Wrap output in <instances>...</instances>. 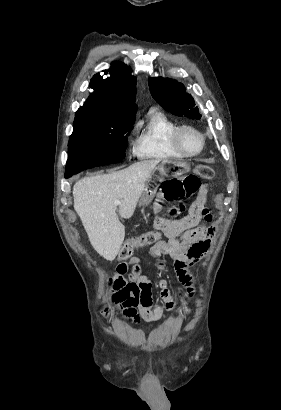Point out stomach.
Here are the masks:
<instances>
[{"instance_id": "1", "label": "stomach", "mask_w": 281, "mask_h": 410, "mask_svg": "<svg viewBox=\"0 0 281 410\" xmlns=\"http://www.w3.org/2000/svg\"><path fill=\"white\" fill-rule=\"evenodd\" d=\"M190 170V165L177 160L165 159L152 171L146 181L145 189L139 202L140 206H147L154 198L156 191L165 177H177Z\"/></svg>"}]
</instances>
